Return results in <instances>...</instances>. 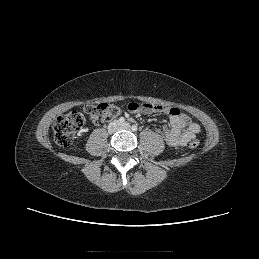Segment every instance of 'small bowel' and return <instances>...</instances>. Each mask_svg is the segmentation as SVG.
Returning <instances> with one entry per match:
<instances>
[{
  "instance_id": "c3829d8e",
  "label": "small bowel",
  "mask_w": 259,
  "mask_h": 259,
  "mask_svg": "<svg viewBox=\"0 0 259 259\" xmlns=\"http://www.w3.org/2000/svg\"><path fill=\"white\" fill-rule=\"evenodd\" d=\"M127 109L131 113H164L170 120V128L165 126L157 131L170 146H184L191 139L195 138L201 131L198 123L194 122L190 116L182 113L178 108L167 107L162 105L147 104L144 101H132L128 104Z\"/></svg>"
}]
</instances>
